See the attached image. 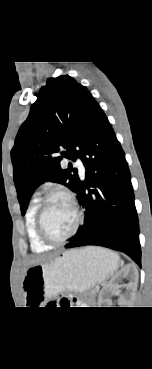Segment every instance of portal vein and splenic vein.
<instances>
[{
	"mask_svg": "<svg viewBox=\"0 0 152 369\" xmlns=\"http://www.w3.org/2000/svg\"><path fill=\"white\" fill-rule=\"evenodd\" d=\"M100 287L99 286H96V289L98 290Z\"/></svg>",
	"mask_w": 152,
	"mask_h": 369,
	"instance_id": "portal-vein-and-splenic-vein-1",
	"label": "portal vein and splenic vein"
}]
</instances>
